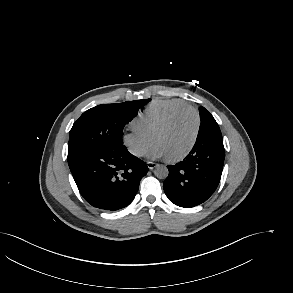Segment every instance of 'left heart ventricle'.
<instances>
[{
	"label": "left heart ventricle",
	"instance_id": "left-heart-ventricle-1",
	"mask_svg": "<svg viewBox=\"0 0 293 293\" xmlns=\"http://www.w3.org/2000/svg\"><path fill=\"white\" fill-rule=\"evenodd\" d=\"M196 127L193 113L178 116L173 123L154 140L165 152L166 157H174L184 152L190 145Z\"/></svg>",
	"mask_w": 293,
	"mask_h": 293
}]
</instances>
